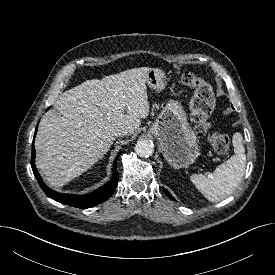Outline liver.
Instances as JSON below:
<instances>
[{
  "instance_id": "liver-1",
  "label": "liver",
  "mask_w": 275,
  "mask_h": 275,
  "mask_svg": "<svg viewBox=\"0 0 275 275\" xmlns=\"http://www.w3.org/2000/svg\"><path fill=\"white\" fill-rule=\"evenodd\" d=\"M140 67L92 79L62 93L43 115L35 139L36 166L60 187L108 152L119 129L133 134L149 114L147 75Z\"/></svg>"
}]
</instances>
